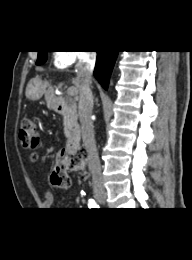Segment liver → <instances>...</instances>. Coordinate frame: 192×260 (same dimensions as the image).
Instances as JSON below:
<instances>
[{
    "label": "liver",
    "mask_w": 192,
    "mask_h": 260,
    "mask_svg": "<svg viewBox=\"0 0 192 260\" xmlns=\"http://www.w3.org/2000/svg\"><path fill=\"white\" fill-rule=\"evenodd\" d=\"M73 84L75 85V88L77 92L79 91V80L78 78L73 79ZM32 84H40L44 88V94H46V100H49L53 96V88L49 85V83H43L39 78H34L30 81V83L27 86L26 89V97L28 98V89ZM48 87V90L46 88Z\"/></svg>",
    "instance_id": "liver-1"
}]
</instances>
